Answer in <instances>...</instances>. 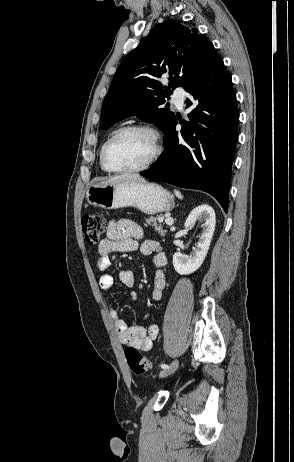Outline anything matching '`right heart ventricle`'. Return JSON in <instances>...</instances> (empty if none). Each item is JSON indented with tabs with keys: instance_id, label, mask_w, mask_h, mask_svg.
I'll return each instance as SVG.
<instances>
[{
	"instance_id": "right-heart-ventricle-1",
	"label": "right heart ventricle",
	"mask_w": 294,
	"mask_h": 462,
	"mask_svg": "<svg viewBox=\"0 0 294 462\" xmlns=\"http://www.w3.org/2000/svg\"><path fill=\"white\" fill-rule=\"evenodd\" d=\"M102 147H103V145H102ZM102 147H101L100 152H99V162H100V167H101V169H102L103 171H105V170L103 169V167H102V164H101V150H102Z\"/></svg>"
}]
</instances>
